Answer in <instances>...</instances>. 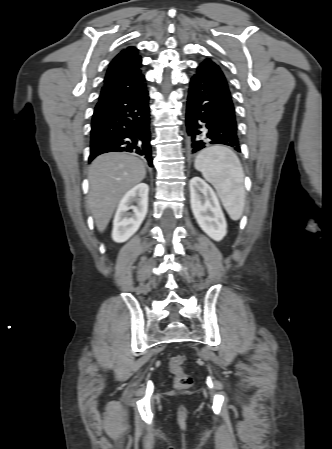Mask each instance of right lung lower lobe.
Wrapping results in <instances>:
<instances>
[{
	"label": "right lung lower lobe",
	"instance_id": "1",
	"mask_svg": "<svg viewBox=\"0 0 332 449\" xmlns=\"http://www.w3.org/2000/svg\"><path fill=\"white\" fill-rule=\"evenodd\" d=\"M89 161L107 152H131L152 166L148 91L99 100L91 124Z\"/></svg>",
	"mask_w": 332,
	"mask_h": 449
}]
</instances>
